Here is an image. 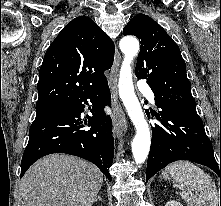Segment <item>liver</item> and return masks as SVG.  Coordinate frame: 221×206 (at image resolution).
<instances>
[{
	"label": "liver",
	"mask_w": 221,
	"mask_h": 206,
	"mask_svg": "<svg viewBox=\"0 0 221 206\" xmlns=\"http://www.w3.org/2000/svg\"><path fill=\"white\" fill-rule=\"evenodd\" d=\"M103 183L94 164L52 154L34 163L21 180L23 206H92Z\"/></svg>",
	"instance_id": "liver-1"
}]
</instances>
